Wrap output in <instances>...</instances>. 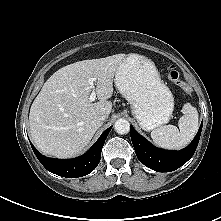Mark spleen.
I'll return each instance as SVG.
<instances>
[{"label": "spleen", "mask_w": 221, "mask_h": 221, "mask_svg": "<svg viewBox=\"0 0 221 221\" xmlns=\"http://www.w3.org/2000/svg\"><path fill=\"white\" fill-rule=\"evenodd\" d=\"M178 127L161 126L151 132L153 142L165 149H181L188 145L198 130V111L190 103L184 104Z\"/></svg>", "instance_id": "3e777b00"}]
</instances>
